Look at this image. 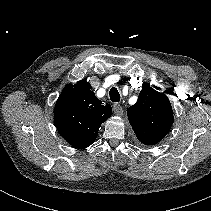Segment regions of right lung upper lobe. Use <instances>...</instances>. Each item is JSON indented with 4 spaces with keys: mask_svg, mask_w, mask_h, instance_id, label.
I'll use <instances>...</instances> for the list:
<instances>
[{
    "mask_svg": "<svg viewBox=\"0 0 211 211\" xmlns=\"http://www.w3.org/2000/svg\"><path fill=\"white\" fill-rule=\"evenodd\" d=\"M58 100L66 102L70 123L57 127L62 137L76 148H87L96 139L98 130L112 113L109 104L104 105L85 80L68 84Z\"/></svg>",
    "mask_w": 211,
    "mask_h": 211,
    "instance_id": "1",
    "label": "right lung upper lobe"
}]
</instances>
